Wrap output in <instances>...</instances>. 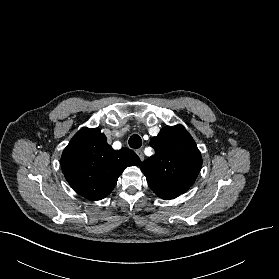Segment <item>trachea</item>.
<instances>
[{"instance_id":"obj_1","label":"trachea","mask_w":279,"mask_h":279,"mask_svg":"<svg viewBox=\"0 0 279 279\" xmlns=\"http://www.w3.org/2000/svg\"><path fill=\"white\" fill-rule=\"evenodd\" d=\"M142 145V139L139 135H132L129 139V146L134 149L140 148Z\"/></svg>"}]
</instances>
